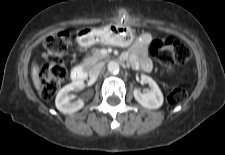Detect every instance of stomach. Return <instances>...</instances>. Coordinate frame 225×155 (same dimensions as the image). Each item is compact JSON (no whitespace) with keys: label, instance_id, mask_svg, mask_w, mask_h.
<instances>
[{"label":"stomach","instance_id":"stomach-1","mask_svg":"<svg viewBox=\"0 0 225 155\" xmlns=\"http://www.w3.org/2000/svg\"><path fill=\"white\" fill-rule=\"evenodd\" d=\"M77 36L79 44L85 47L95 43L127 47L135 39L131 28L121 24H109L100 29L83 28Z\"/></svg>","mask_w":225,"mask_h":155}]
</instances>
